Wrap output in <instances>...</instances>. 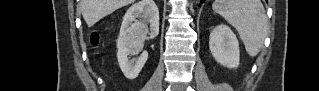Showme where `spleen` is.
<instances>
[{
	"label": "spleen",
	"mask_w": 319,
	"mask_h": 91,
	"mask_svg": "<svg viewBox=\"0 0 319 91\" xmlns=\"http://www.w3.org/2000/svg\"><path fill=\"white\" fill-rule=\"evenodd\" d=\"M213 10L239 33L247 53L255 57L267 35L268 21L260 0H216Z\"/></svg>",
	"instance_id": "3e777b00"
}]
</instances>
